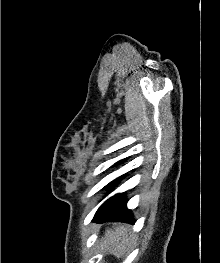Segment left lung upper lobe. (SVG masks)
I'll return each instance as SVG.
<instances>
[{
    "instance_id": "5c2ea615",
    "label": "left lung upper lobe",
    "mask_w": 220,
    "mask_h": 263,
    "mask_svg": "<svg viewBox=\"0 0 220 263\" xmlns=\"http://www.w3.org/2000/svg\"><path fill=\"white\" fill-rule=\"evenodd\" d=\"M113 185V182H111L110 184H108V186H112Z\"/></svg>"
}]
</instances>
